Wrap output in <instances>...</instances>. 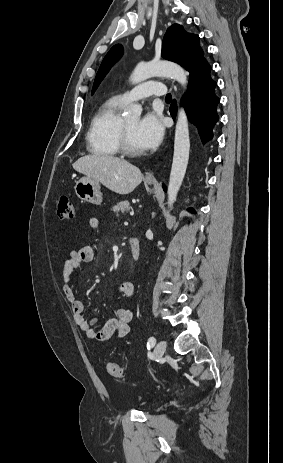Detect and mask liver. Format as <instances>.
Segmentation results:
<instances>
[{
  "label": "liver",
  "mask_w": 283,
  "mask_h": 463,
  "mask_svg": "<svg viewBox=\"0 0 283 463\" xmlns=\"http://www.w3.org/2000/svg\"><path fill=\"white\" fill-rule=\"evenodd\" d=\"M73 168L122 195L132 192L143 179L139 168L111 155L93 154L80 157L73 163Z\"/></svg>",
  "instance_id": "6515ba94"
}]
</instances>
